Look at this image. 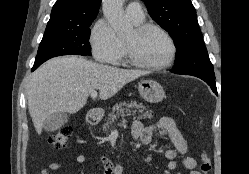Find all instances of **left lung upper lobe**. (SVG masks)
Here are the masks:
<instances>
[{
  "label": "left lung upper lobe",
  "mask_w": 249,
  "mask_h": 174,
  "mask_svg": "<svg viewBox=\"0 0 249 174\" xmlns=\"http://www.w3.org/2000/svg\"><path fill=\"white\" fill-rule=\"evenodd\" d=\"M152 19L174 39L177 49L173 70L179 74L214 76L196 10L190 0H143Z\"/></svg>",
  "instance_id": "5c2ea615"
}]
</instances>
